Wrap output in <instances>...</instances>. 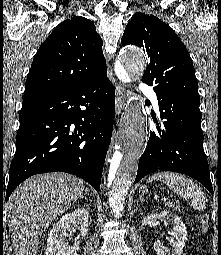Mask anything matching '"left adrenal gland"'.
<instances>
[{"instance_id": "1", "label": "left adrenal gland", "mask_w": 221, "mask_h": 255, "mask_svg": "<svg viewBox=\"0 0 221 255\" xmlns=\"http://www.w3.org/2000/svg\"><path fill=\"white\" fill-rule=\"evenodd\" d=\"M143 201H144V199L142 198V195H139L138 198H137V203L138 202H143Z\"/></svg>"}]
</instances>
